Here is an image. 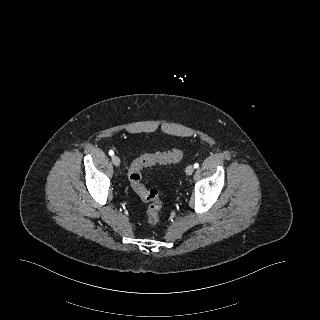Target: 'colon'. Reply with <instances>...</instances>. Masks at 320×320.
<instances>
[{
  "label": "colon",
  "mask_w": 320,
  "mask_h": 320,
  "mask_svg": "<svg viewBox=\"0 0 320 320\" xmlns=\"http://www.w3.org/2000/svg\"><path fill=\"white\" fill-rule=\"evenodd\" d=\"M183 150L175 148L168 152L147 153L130 166L128 177L133 190L148 204L147 220L151 225L158 223L162 209V200L155 189H147L142 182V169L155 164H170L179 162L183 158Z\"/></svg>",
  "instance_id": "1"
}]
</instances>
